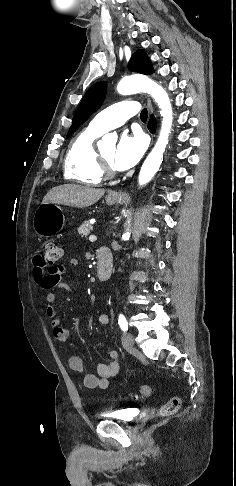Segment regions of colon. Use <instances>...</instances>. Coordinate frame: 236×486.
<instances>
[{
    "label": "colon",
    "instance_id": "obj_1",
    "mask_svg": "<svg viewBox=\"0 0 236 486\" xmlns=\"http://www.w3.org/2000/svg\"><path fill=\"white\" fill-rule=\"evenodd\" d=\"M61 248L54 242H46L43 245L41 257L43 262L49 266H54L61 258ZM153 393V387L150 385H142L137 391L129 394L131 397L146 398ZM181 406V399L179 397L171 398L167 403L158 409L160 416H169L178 411Z\"/></svg>",
    "mask_w": 236,
    "mask_h": 486
}]
</instances>
